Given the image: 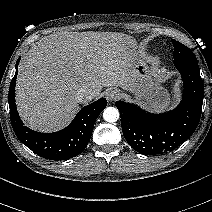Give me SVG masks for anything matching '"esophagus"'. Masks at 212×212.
I'll list each match as a JSON object with an SVG mask.
<instances>
[{"instance_id": "esophagus-1", "label": "esophagus", "mask_w": 212, "mask_h": 212, "mask_svg": "<svg viewBox=\"0 0 212 212\" xmlns=\"http://www.w3.org/2000/svg\"><path fill=\"white\" fill-rule=\"evenodd\" d=\"M106 96L109 101H114L119 98V92L113 89L108 91Z\"/></svg>"}]
</instances>
